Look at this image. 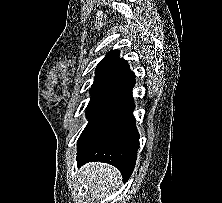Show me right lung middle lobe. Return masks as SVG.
<instances>
[{
  "instance_id": "dd1d6c3e",
  "label": "right lung middle lobe",
  "mask_w": 222,
  "mask_h": 203,
  "mask_svg": "<svg viewBox=\"0 0 222 203\" xmlns=\"http://www.w3.org/2000/svg\"><path fill=\"white\" fill-rule=\"evenodd\" d=\"M91 99L86 109L87 117L93 115L103 105H105L114 95L106 92L90 90Z\"/></svg>"
}]
</instances>
